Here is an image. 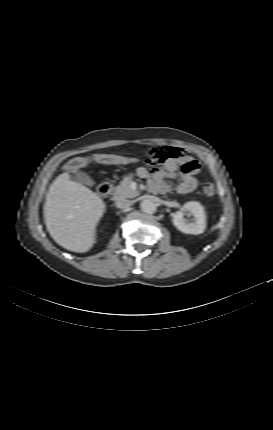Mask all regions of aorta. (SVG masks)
<instances>
[{
	"mask_svg": "<svg viewBox=\"0 0 273 430\" xmlns=\"http://www.w3.org/2000/svg\"><path fill=\"white\" fill-rule=\"evenodd\" d=\"M141 209L147 214H153L156 211V204L148 199L141 202Z\"/></svg>",
	"mask_w": 273,
	"mask_h": 430,
	"instance_id": "aorta-1",
	"label": "aorta"
}]
</instances>
